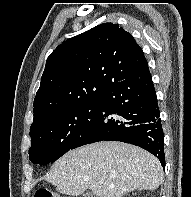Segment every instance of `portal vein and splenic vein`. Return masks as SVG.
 Segmentation results:
<instances>
[{"label":"portal vein and splenic vein","mask_w":191,"mask_h":197,"mask_svg":"<svg viewBox=\"0 0 191 197\" xmlns=\"http://www.w3.org/2000/svg\"><path fill=\"white\" fill-rule=\"evenodd\" d=\"M99 183H100V184H103V181H100Z\"/></svg>","instance_id":"portal-vein-and-splenic-vein-1"}]
</instances>
